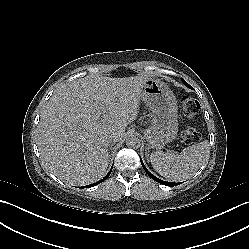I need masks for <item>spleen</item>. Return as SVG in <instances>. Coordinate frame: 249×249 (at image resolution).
Listing matches in <instances>:
<instances>
[{"mask_svg":"<svg viewBox=\"0 0 249 249\" xmlns=\"http://www.w3.org/2000/svg\"><path fill=\"white\" fill-rule=\"evenodd\" d=\"M209 158L207 141L194 144L180 153L154 152L150 156L151 164L156 172L170 181H180L196 171Z\"/></svg>","mask_w":249,"mask_h":249,"instance_id":"obj_1","label":"spleen"}]
</instances>
